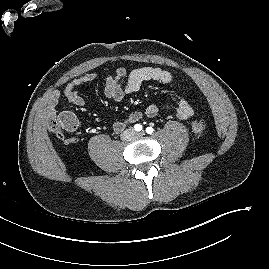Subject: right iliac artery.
Here are the masks:
<instances>
[{
  "instance_id": "82829eb1",
  "label": "right iliac artery",
  "mask_w": 269,
  "mask_h": 269,
  "mask_svg": "<svg viewBox=\"0 0 269 269\" xmlns=\"http://www.w3.org/2000/svg\"><path fill=\"white\" fill-rule=\"evenodd\" d=\"M134 129H135V131L139 132V131L142 130V125H140V124H136V125L134 126Z\"/></svg>"
}]
</instances>
